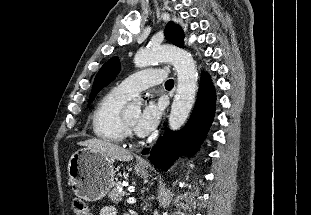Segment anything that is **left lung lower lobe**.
Listing matches in <instances>:
<instances>
[{
    "label": "left lung lower lobe",
    "mask_w": 311,
    "mask_h": 215,
    "mask_svg": "<svg viewBox=\"0 0 311 215\" xmlns=\"http://www.w3.org/2000/svg\"><path fill=\"white\" fill-rule=\"evenodd\" d=\"M215 90L207 75H203L197 101L185 128L179 132L167 131L159 138L157 146L150 151V161L160 169L167 170L183 151L193 152L202 142L214 117ZM149 149L143 151L146 154Z\"/></svg>",
    "instance_id": "0a47b994"
}]
</instances>
